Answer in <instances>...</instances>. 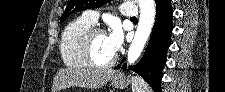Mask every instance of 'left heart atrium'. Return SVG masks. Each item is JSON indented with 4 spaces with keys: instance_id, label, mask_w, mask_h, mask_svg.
Returning a JSON list of instances; mask_svg holds the SVG:
<instances>
[{
    "instance_id": "left-heart-atrium-1",
    "label": "left heart atrium",
    "mask_w": 225,
    "mask_h": 92,
    "mask_svg": "<svg viewBox=\"0 0 225 92\" xmlns=\"http://www.w3.org/2000/svg\"><path fill=\"white\" fill-rule=\"evenodd\" d=\"M112 52L115 54L122 45V30L118 24H113L107 34Z\"/></svg>"
}]
</instances>
